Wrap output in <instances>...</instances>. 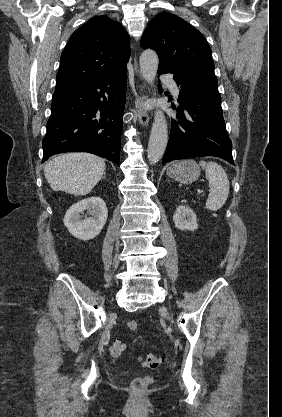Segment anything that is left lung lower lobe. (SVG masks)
<instances>
[{
    "label": "left lung lower lobe",
    "mask_w": 282,
    "mask_h": 417,
    "mask_svg": "<svg viewBox=\"0 0 282 417\" xmlns=\"http://www.w3.org/2000/svg\"><path fill=\"white\" fill-rule=\"evenodd\" d=\"M163 73L169 72L158 71ZM173 78L180 87L179 106L162 164L202 156H216L234 164L215 75L184 73Z\"/></svg>",
    "instance_id": "1"
}]
</instances>
